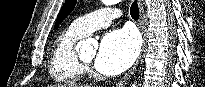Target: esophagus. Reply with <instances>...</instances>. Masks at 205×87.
I'll list each match as a JSON object with an SVG mask.
<instances>
[{"label":"esophagus","mask_w":205,"mask_h":87,"mask_svg":"<svg viewBox=\"0 0 205 87\" xmlns=\"http://www.w3.org/2000/svg\"><path fill=\"white\" fill-rule=\"evenodd\" d=\"M138 2V7H139V24H140V29L143 35V43L145 44V30H144V9H143V4L142 0H137ZM144 48V45H143ZM143 48L141 50V53L139 57L137 58L136 62L134 65L129 69V71L121 78V80L116 84V87H123L126 85L127 81L130 79V77L133 75L134 71L136 70L141 57H142V52Z\"/></svg>","instance_id":"obj_1"}]
</instances>
